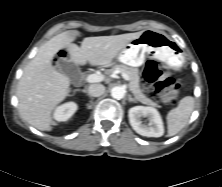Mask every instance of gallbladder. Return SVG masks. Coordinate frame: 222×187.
Instances as JSON below:
<instances>
[{"label": "gallbladder", "mask_w": 222, "mask_h": 187, "mask_svg": "<svg viewBox=\"0 0 222 187\" xmlns=\"http://www.w3.org/2000/svg\"><path fill=\"white\" fill-rule=\"evenodd\" d=\"M56 65L61 73L69 78V80L78 85L82 79V72L79 67L67 58H58Z\"/></svg>", "instance_id": "obj_1"}]
</instances>
